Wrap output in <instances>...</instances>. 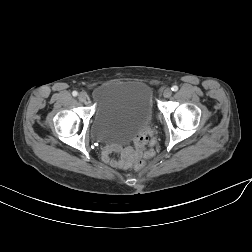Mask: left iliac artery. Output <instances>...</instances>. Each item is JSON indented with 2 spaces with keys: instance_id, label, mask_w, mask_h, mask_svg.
Instances as JSON below:
<instances>
[{
  "instance_id": "obj_1",
  "label": "left iliac artery",
  "mask_w": 252,
  "mask_h": 252,
  "mask_svg": "<svg viewBox=\"0 0 252 252\" xmlns=\"http://www.w3.org/2000/svg\"><path fill=\"white\" fill-rule=\"evenodd\" d=\"M171 89H172V91L176 92L178 90V86L174 85V86H172Z\"/></svg>"
}]
</instances>
